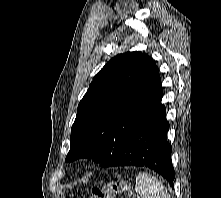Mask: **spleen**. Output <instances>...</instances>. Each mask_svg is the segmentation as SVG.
I'll return each instance as SVG.
<instances>
[{"mask_svg": "<svg viewBox=\"0 0 221 198\" xmlns=\"http://www.w3.org/2000/svg\"><path fill=\"white\" fill-rule=\"evenodd\" d=\"M135 191L138 198H170L161 181L145 172L136 177Z\"/></svg>", "mask_w": 221, "mask_h": 198, "instance_id": "spleen-1", "label": "spleen"}]
</instances>
